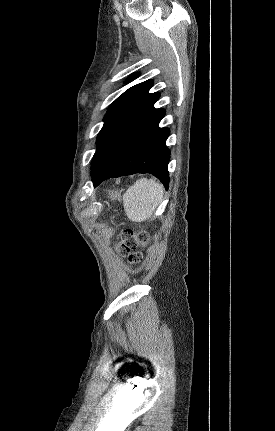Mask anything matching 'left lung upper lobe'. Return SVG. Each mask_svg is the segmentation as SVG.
<instances>
[{
	"instance_id": "obj_1",
	"label": "left lung upper lobe",
	"mask_w": 275,
	"mask_h": 431,
	"mask_svg": "<svg viewBox=\"0 0 275 431\" xmlns=\"http://www.w3.org/2000/svg\"><path fill=\"white\" fill-rule=\"evenodd\" d=\"M137 76L132 75L128 81ZM152 86V80L134 85L110 105L97 136L92 177L105 171L121 150L162 110L154 108L160 94L149 93Z\"/></svg>"
}]
</instances>
